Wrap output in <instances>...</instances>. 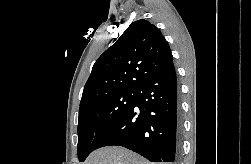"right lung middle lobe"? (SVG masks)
I'll return each mask as SVG.
<instances>
[{"label": "right lung middle lobe", "mask_w": 251, "mask_h": 164, "mask_svg": "<svg viewBox=\"0 0 251 164\" xmlns=\"http://www.w3.org/2000/svg\"><path fill=\"white\" fill-rule=\"evenodd\" d=\"M137 89L99 96L79 108L78 158L84 162L106 133L133 106Z\"/></svg>", "instance_id": "right-lung-middle-lobe-1"}]
</instances>
